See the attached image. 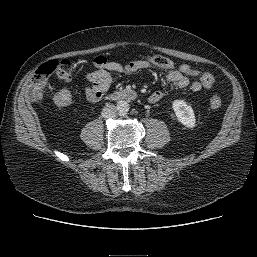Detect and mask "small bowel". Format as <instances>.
<instances>
[{
    "label": "small bowel",
    "mask_w": 257,
    "mask_h": 257,
    "mask_svg": "<svg viewBox=\"0 0 257 257\" xmlns=\"http://www.w3.org/2000/svg\"><path fill=\"white\" fill-rule=\"evenodd\" d=\"M95 70L87 75L89 85L86 88V95L90 101L101 100L108 91L111 84L110 72L130 74L141 70H160L165 72V78L168 84L175 88H188L191 91L198 92L202 90L203 85L198 81H191L190 78L182 74L179 70L158 67L149 60H136L128 64L108 61L105 57L99 56L94 60ZM164 97L162 91H154L148 101L151 104L159 103Z\"/></svg>",
    "instance_id": "obj_1"
}]
</instances>
